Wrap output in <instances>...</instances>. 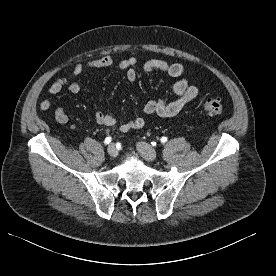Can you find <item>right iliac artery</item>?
<instances>
[{
	"mask_svg": "<svg viewBox=\"0 0 276 276\" xmlns=\"http://www.w3.org/2000/svg\"><path fill=\"white\" fill-rule=\"evenodd\" d=\"M112 138L111 137H106L104 140L105 144H109L111 142Z\"/></svg>",
	"mask_w": 276,
	"mask_h": 276,
	"instance_id": "82829eb1",
	"label": "right iliac artery"
}]
</instances>
